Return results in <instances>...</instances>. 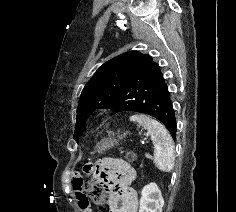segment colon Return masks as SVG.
<instances>
[{
    "label": "colon",
    "mask_w": 236,
    "mask_h": 212,
    "mask_svg": "<svg viewBox=\"0 0 236 212\" xmlns=\"http://www.w3.org/2000/svg\"><path fill=\"white\" fill-rule=\"evenodd\" d=\"M128 159L132 161L134 155L128 154ZM88 172H91V176L88 179L83 180L82 190L84 191L88 202L91 201L94 204L99 205L102 212H110L109 203L106 201V193L109 188L108 185L102 179L100 171H96L93 168L86 167Z\"/></svg>",
    "instance_id": "colon-1"
}]
</instances>
